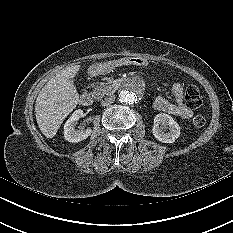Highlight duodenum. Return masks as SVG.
<instances>
[{
  "label": "duodenum",
  "mask_w": 233,
  "mask_h": 233,
  "mask_svg": "<svg viewBox=\"0 0 233 233\" xmlns=\"http://www.w3.org/2000/svg\"><path fill=\"white\" fill-rule=\"evenodd\" d=\"M122 88L121 82H116L115 84H105L103 87H99L96 90V97L99 100L104 99V97L107 96L108 93H111L113 91L118 92ZM79 102L83 106H89L92 103V97L89 93H83L80 98Z\"/></svg>",
  "instance_id": "410a0bca"
}]
</instances>
